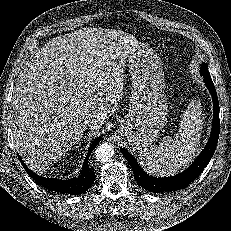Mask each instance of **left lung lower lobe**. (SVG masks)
Returning a JSON list of instances; mask_svg holds the SVG:
<instances>
[{
  "mask_svg": "<svg viewBox=\"0 0 231 231\" xmlns=\"http://www.w3.org/2000/svg\"><path fill=\"white\" fill-rule=\"evenodd\" d=\"M204 82L212 95L214 103L212 131L204 150L185 171L168 178L151 177L143 171L136 159L128 151L124 148H120L122 154L133 170L135 180L145 190L162 193L183 189L201 174L211 160L217 146L220 131L219 102L212 79L204 77Z\"/></svg>",
  "mask_w": 231,
  "mask_h": 231,
  "instance_id": "left-lung-lower-lobe-1",
  "label": "left lung lower lobe"
}]
</instances>
